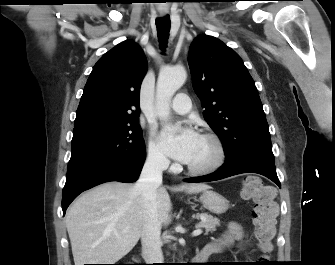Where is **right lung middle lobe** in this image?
<instances>
[{"label": "right lung middle lobe", "instance_id": "obj_1", "mask_svg": "<svg viewBox=\"0 0 335 265\" xmlns=\"http://www.w3.org/2000/svg\"><path fill=\"white\" fill-rule=\"evenodd\" d=\"M71 146L68 167L93 159L130 160L145 154L137 120L76 127Z\"/></svg>", "mask_w": 335, "mask_h": 265}]
</instances>
